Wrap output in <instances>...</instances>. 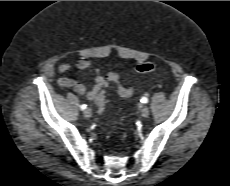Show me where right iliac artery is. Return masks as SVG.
I'll return each instance as SVG.
<instances>
[{
    "instance_id": "obj_1",
    "label": "right iliac artery",
    "mask_w": 230,
    "mask_h": 186,
    "mask_svg": "<svg viewBox=\"0 0 230 186\" xmlns=\"http://www.w3.org/2000/svg\"><path fill=\"white\" fill-rule=\"evenodd\" d=\"M80 108H81L82 110H85V109L87 108V105L83 104V105L80 106Z\"/></svg>"
}]
</instances>
